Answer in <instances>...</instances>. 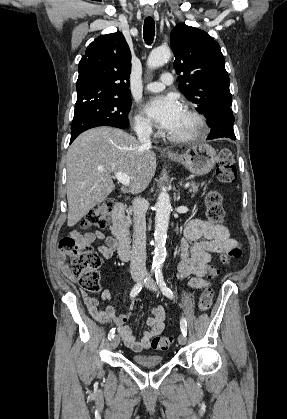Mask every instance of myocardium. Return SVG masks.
<instances>
[{"label": "myocardium", "mask_w": 287, "mask_h": 419, "mask_svg": "<svg viewBox=\"0 0 287 419\" xmlns=\"http://www.w3.org/2000/svg\"><path fill=\"white\" fill-rule=\"evenodd\" d=\"M184 111L195 122L196 124L195 129L187 134H182V135H175V134L169 133L168 138L178 143H188V142L203 138L208 133V126H207L205 118L197 110L191 107H185Z\"/></svg>", "instance_id": "1"}]
</instances>
